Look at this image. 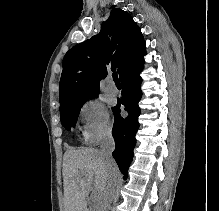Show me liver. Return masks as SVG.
Returning a JSON list of instances; mask_svg holds the SVG:
<instances>
[{"label":"liver","instance_id":"liver-1","mask_svg":"<svg viewBox=\"0 0 219 211\" xmlns=\"http://www.w3.org/2000/svg\"><path fill=\"white\" fill-rule=\"evenodd\" d=\"M118 167L105 163L98 149H68L63 157L65 211H89L87 197L93 183L97 209H108L116 189Z\"/></svg>","mask_w":219,"mask_h":211}]
</instances>
